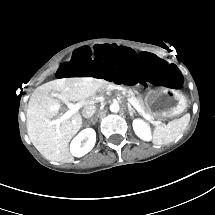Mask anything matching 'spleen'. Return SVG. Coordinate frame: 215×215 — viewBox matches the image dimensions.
Segmentation results:
<instances>
[{
  "label": "spleen",
  "instance_id": "1",
  "mask_svg": "<svg viewBox=\"0 0 215 215\" xmlns=\"http://www.w3.org/2000/svg\"><path fill=\"white\" fill-rule=\"evenodd\" d=\"M189 119V114H186L180 119L169 122L166 126H157L153 131V144L163 145L173 142L180 135L185 122Z\"/></svg>",
  "mask_w": 215,
  "mask_h": 215
}]
</instances>
